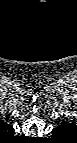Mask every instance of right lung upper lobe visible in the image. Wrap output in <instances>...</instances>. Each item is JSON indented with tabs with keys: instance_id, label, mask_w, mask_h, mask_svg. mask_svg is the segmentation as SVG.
Returning <instances> with one entry per match:
<instances>
[{
	"instance_id": "right-lung-upper-lobe-1",
	"label": "right lung upper lobe",
	"mask_w": 77,
	"mask_h": 143,
	"mask_svg": "<svg viewBox=\"0 0 77 143\" xmlns=\"http://www.w3.org/2000/svg\"><path fill=\"white\" fill-rule=\"evenodd\" d=\"M1 128L6 131V132H9L11 133L12 131H14V129L12 128V126H10L9 124L7 123H1Z\"/></svg>"
}]
</instances>
